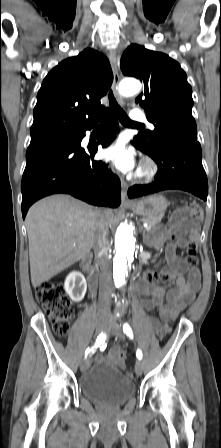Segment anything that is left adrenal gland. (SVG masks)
Instances as JSON below:
<instances>
[{"instance_id": "left-adrenal-gland-1", "label": "left adrenal gland", "mask_w": 221, "mask_h": 448, "mask_svg": "<svg viewBox=\"0 0 221 448\" xmlns=\"http://www.w3.org/2000/svg\"><path fill=\"white\" fill-rule=\"evenodd\" d=\"M139 229H140V231H143V241H145V240H146V239H145V235H146V233H145V231L143 230V227H142V226H140Z\"/></svg>"}]
</instances>
